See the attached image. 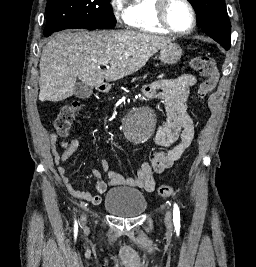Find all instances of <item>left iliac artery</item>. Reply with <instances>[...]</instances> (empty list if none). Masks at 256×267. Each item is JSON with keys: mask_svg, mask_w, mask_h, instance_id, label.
<instances>
[{"mask_svg": "<svg viewBox=\"0 0 256 267\" xmlns=\"http://www.w3.org/2000/svg\"><path fill=\"white\" fill-rule=\"evenodd\" d=\"M173 223L174 226H180V211L176 203L174 204V209H173Z\"/></svg>", "mask_w": 256, "mask_h": 267, "instance_id": "left-iliac-artery-1", "label": "left iliac artery"}]
</instances>
